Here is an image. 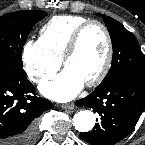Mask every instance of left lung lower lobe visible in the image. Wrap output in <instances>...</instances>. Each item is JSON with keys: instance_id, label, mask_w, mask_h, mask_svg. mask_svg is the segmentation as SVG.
<instances>
[{"instance_id": "0a47b994", "label": "left lung lower lobe", "mask_w": 145, "mask_h": 145, "mask_svg": "<svg viewBox=\"0 0 145 145\" xmlns=\"http://www.w3.org/2000/svg\"><path fill=\"white\" fill-rule=\"evenodd\" d=\"M76 105L92 108L100 121L80 137L92 145H113L135 127L145 106V79L122 76L97 87Z\"/></svg>"}]
</instances>
